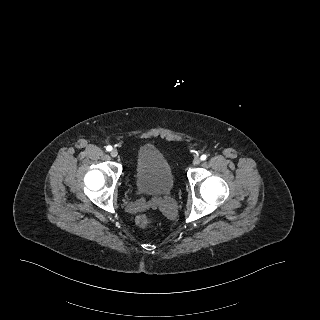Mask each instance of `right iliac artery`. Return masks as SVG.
<instances>
[{
    "label": "right iliac artery",
    "mask_w": 320,
    "mask_h": 320,
    "mask_svg": "<svg viewBox=\"0 0 320 320\" xmlns=\"http://www.w3.org/2000/svg\"><path fill=\"white\" fill-rule=\"evenodd\" d=\"M106 150H107V151H111V150H112V146H110V145L107 146V147H106Z\"/></svg>",
    "instance_id": "right-iliac-artery-1"
}]
</instances>
